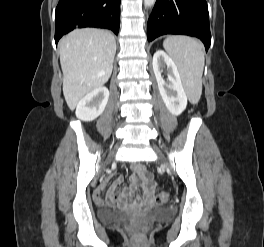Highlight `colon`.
<instances>
[{"label":"colon","mask_w":264,"mask_h":247,"mask_svg":"<svg viewBox=\"0 0 264 247\" xmlns=\"http://www.w3.org/2000/svg\"><path fill=\"white\" fill-rule=\"evenodd\" d=\"M170 199V193L167 191H161L156 196V202L158 204H164Z\"/></svg>","instance_id":"colon-1"}]
</instances>
